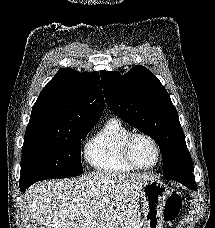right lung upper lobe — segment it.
Instances as JSON below:
<instances>
[{"label":"right lung upper lobe","instance_id":"right-lung-upper-lobe-1","mask_svg":"<svg viewBox=\"0 0 215 228\" xmlns=\"http://www.w3.org/2000/svg\"><path fill=\"white\" fill-rule=\"evenodd\" d=\"M104 98L97 72L58 71L35 102L26 132L75 123L97 122Z\"/></svg>","mask_w":215,"mask_h":228}]
</instances>
